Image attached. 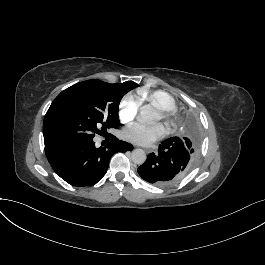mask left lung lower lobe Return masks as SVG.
<instances>
[{
  "mask_svg": "<svg viewBox=\"0 0 265 265\" xmlns=\"http://www.w3.org/2000/svg\"><path fill=\"white\" fill-rule=\"evenodd\" d=\"M189 154L181 139L169 138L159 145L158 153H150L147 160L138 167L142 179L157 186L176 183L190 168Z\"/></svg>",
  "mask_w": 265,
  "mask_h": 265,
  "instance_id": "obj_1",
  "label": "left lung lower lobe"
}]
</instances>
